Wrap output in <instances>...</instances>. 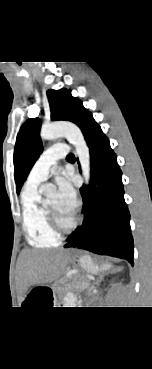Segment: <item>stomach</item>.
<instances>
[{
  "instance_id": "1",
  "label": "stomach",
  "mask_w": 152,
  "mask_h": 369,
  "mask_svg": "<svg viewBox=\"0 0 152 369\" xmlns=\"http://www.w3.org/2000/svg\"><path fill=\"white\" fill-rule=\"evenodd\" d=\"M77 261L84 270L93 274L98 273L101 270H106L111 266L110 264L105 263L99 267L97 264L93 262V260L88 255L81 256ZM37 287L40 286H35L33 289Z\"/></svg>"
}]
</instances>
